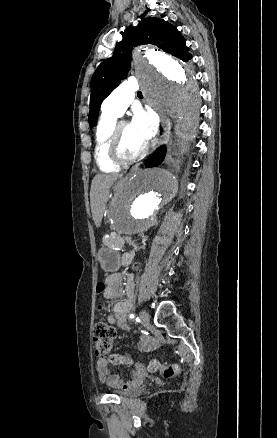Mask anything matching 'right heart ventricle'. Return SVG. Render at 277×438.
I'll list each match as a JSON object with an SVG mask.
<instances>
[{
	"label": "right heart ventricle",
	"instance_id": "obj_1",
	"mask_svg": "<svg viewBox=\"0 0 277 438\" xmlns=\"http://www.w3.org/2000/svg\"><path fill=\"white\" fill-rule=\"evenodd\" d=\"M115 123L116 118L102 114L96 130V161L99 168L108 173H116L120 170V165L114 163L108 153L109 138Z\"/></svg>",
	"mask_w": 277,
	"mask_h": 438
}]
</instances>
